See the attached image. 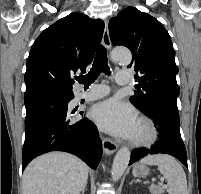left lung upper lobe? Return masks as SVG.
<instances>
[{"label":"left lung upper lobe","mask_w":201,"mask_h":194,"mask_svg":"<svg viewBox=\"0 0 201 194\" xmlns=\"http://www.w3.org/2000/svg\"><path fill=\"white\" fill-rule=\"evenodd\" d=\"M113 45L128 47L139 85L130 101L143 113L153 105L166 102L177 105L180 93L176 81L178 67L171 38L154 17L134 7H127L109 22Z\"/></svg>","instance_id":"left-lung-upper-lobe-1"}]
</instances>
